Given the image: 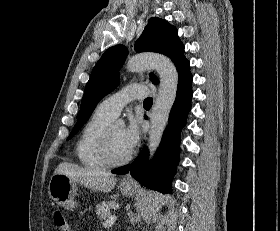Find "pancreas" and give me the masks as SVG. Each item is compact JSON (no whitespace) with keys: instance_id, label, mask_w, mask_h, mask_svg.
Returning <instances> with one entry per match:
<instances>
[{"instance_id":"cf45deb5","label":"pancreas","mask_w":280,"mask_h":231,"mask_svg":"<svg viewBox=\"0 0 280 231\" xmlns=\"http://www.w3.org/2000/svg\"><path fill=\"white\" fill-rule=\"evenodd\" d=\"M111 207H118V203L116 201H101V203H98L96 205V211L98 217H108V215H111Z\"/></svg>"}]
</instances>
